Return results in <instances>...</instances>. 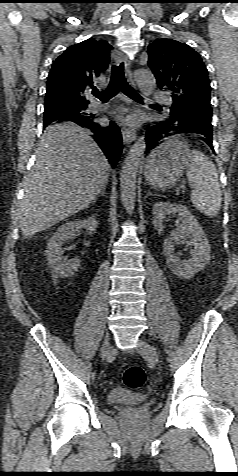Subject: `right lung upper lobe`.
I'll return each instance as SVG.
<instances>
[{
    "label": "right lung upper lobe",
    "instance_id": "obj_1",
    "mask_svg": "<svg viewBox=\"0 0 238 476\" xmlns=\"http://www.w3.org/2000/svg\"><path fill=\"white\" fill-rule=\"evenodd\" d=\"M111 49L108 42L92 38L67 48L49 72L45 103L87 106L84 95L107 69Z\"/></svg>",
    "mask_w": 238,
    "mask_h": 476
}]
</instances>
